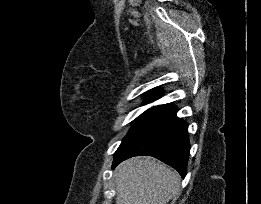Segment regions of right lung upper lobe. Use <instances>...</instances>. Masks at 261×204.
Returning a JSON list of instances; mask_svg holds the SVG:
<instances>
[{
    "label": "right lung upper lobe",
    "instance_id": "obj_1",
    "mask_svg": "<svg viewBox=\"0 0 261 204\" xmlns=\"http://www.w3.org/2000/svg\"><path fill=\"white\" fill-rule=\"evenodd\" d=\"M147 93H149V94H161V91L159 89L155 88V89H151Z\"/></svg>",
    "mask_w": 261,
    "mask_h": 204
}]
</instances>
